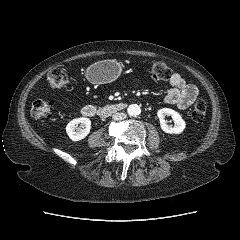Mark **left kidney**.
Returning a JSON list of instances; mask_svg holds the SVG:
<instances>
[{"label": "left kidney", "instance_id": "1", "mask_svg": "<svg viewBox=\"0 0 240 240\" xmlns=\"http://www.w3.org/2000/svg\"><path fill=\"white\" fill-rule=\"evenodd\" d=\"M157 116L160 120V127L165 133L169 134H180L185 129L186 123L182 119L181 115L173 109L162 108L157 112ZM165 116H171L175 125L168 126L165 121Z\"/></svg>", "mask_w": 240, "mask_h": 240}]
</instances>
